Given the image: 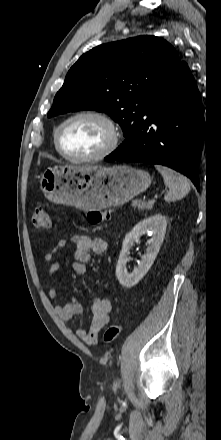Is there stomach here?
Returning <instances> with one entry per match:
<instances>
[{
  "label": "stomach",
  "instance_id": "0dacf381",
  "mask_svg": "<svg viewBox=\"0 0 221 440\" xmlns=\"http://www.w3.org/2000/svg\"><path fill=\"white\" fill-rule=\"evenodd\" d=\"M151 181L148 172L128 165L55 166L41 175L40 188L51 202L96 211L125 204Z\"/></svg>",
  "mask_w": 221,
  "mask_h": 440
}]
</instances>
